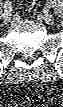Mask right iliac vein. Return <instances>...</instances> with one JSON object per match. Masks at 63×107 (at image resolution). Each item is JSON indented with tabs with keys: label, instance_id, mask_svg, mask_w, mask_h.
Returning <instances> with one entry per match:
<instances>
[{
	"label": "right iliac vein",
	"instance_id": "obj_1",
	"mask_svg": "<svg viewBox=\"0 0 63 107\" xmlns=\"http://www.w3.org/2000/svg\"><path fill=\"white\" fill-rule=\"evenodd\" d=\"M10 22H11V17H10V15H8V14L4 15V16H3V23H4L5 25H8Z\"/></svg>",
	"mask_w": 63,
	"mask_h": 107
}]
</instances>
